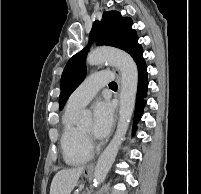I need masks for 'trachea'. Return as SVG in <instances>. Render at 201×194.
<instances>
[{"mask_svg": "<svg viewBox=\"0 0 201 194\" xmlns=\"http://www.w3.org/2000/svg\"><path fill=\"white\" fill-rule=\"evenodd\" d=\"M109 87H117V83H116V82H111V83L109 84Z\"/></svg>", "mask_w": 201, "mask_h": 194, "instance_id": "3493384b", "label": "trachea"}]
</instances>
